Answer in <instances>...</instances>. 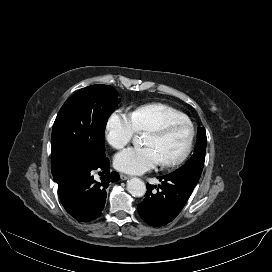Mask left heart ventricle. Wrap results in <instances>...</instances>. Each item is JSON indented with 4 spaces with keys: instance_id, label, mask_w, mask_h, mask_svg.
<instances>
[{
    "instance_id": "b2bd125f",
    "label": "left heart ventricle",
    "mask_w": 272,
    "mask_h": 272,
    "mask_svg": "<svg viewBox=\"0 0 272 272\" xmlns=\"http://www.w3.org/2000/svg\"><path fill=\"white\" fill-rule=\"evenodd\" d=\"M188 142V131L179 128L164 137L147 134L144 138L146 146L153 147L160 155L162 162L177 158Z\"/></svg>"
}]
</instances>
